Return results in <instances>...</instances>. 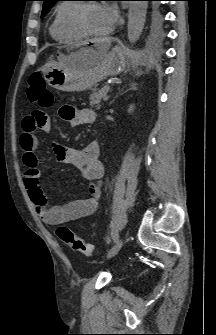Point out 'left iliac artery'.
Listing matches in <instances>:
<instances>
[{
	"label": "left iliac artery",
	"instance_id": "obj_1",
	"mask_svg": "<svg viewBox=\"0 0 216 335\" xmlns=\"http://www.w3.org/2000/svg\"><path fill=\"white\" fill-rule=\"evenodd\" d=\"M111 239L113 243H116L119 240V230L118 228L114 227L111 230Z\"/></svg>",
	"mask_w": 216,
	"mask_h": 335
}]
</instances>
